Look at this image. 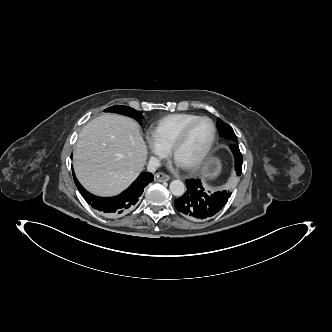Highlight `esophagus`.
I'll return each instance as SVG.
<instances>
[{
	"label": "esophagus",
	"mask_w": 332,
	"mask_h": 332,
	"mask_svg": "<svg viewBox=\"0 0 332 332\" xmlns=\"http://www.w3.org/2000/svg\"><path fill=\"white\" fill-rule=\"evenodd\" d=\"M154 180L156 182H163V181H169L170 180V176L163 173V172H159L155 175Z\"/></svg>",
	"instance_id": "esophagus-1"
}]
</instances>
